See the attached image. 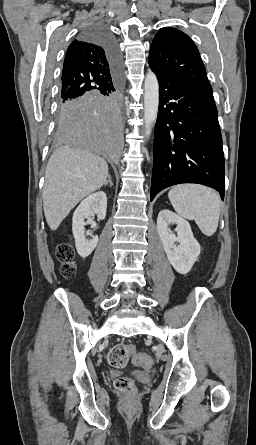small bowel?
<instances>
[{"instance_id": "c3829d8e", "label": "small bowel", "mask_w": 256, "mask_h": 445, "mask_svg": "<svg viewBox=\"0 0 256 445\" xmlns=\"http://www.w3.org/2000/svg\"><path fill=\"white\" fill-rule=\"evenodd\" d=\"M139 355H146V354H143V353H140ZM149 357V356H148ZM150 359V358H149ZM150 362H151V360H149V362H146V363H143V364H140L144 369H148L149 367H150Z\"/></svg>"}]
</instances>
